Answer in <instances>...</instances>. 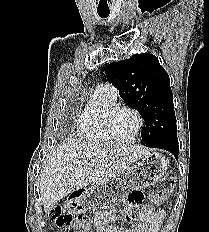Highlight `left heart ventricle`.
<instances>
[{
	"instance_id": "left-heart-ventricle-1",
	"label": "left heart ventricle",
	"mask_w": 209,
	"mask_h": 232,
	"mask_svg": "<svg viewBox=\"0 0 209 232\" xmlns=\"http://www.w3.org/2000/svg\"><path fill=\"white\" fill-rule=\"evenodd\" d=\"M136 126V118L128 111L120 112L111 123L113 135L120 139L130 137L134 133Z\"/></svg>"
}]
</instances>
